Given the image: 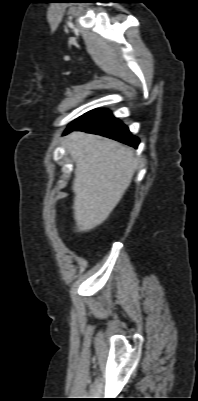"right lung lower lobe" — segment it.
<instances>
[{
  "instance_id": "obj_1",
  "label": "right lung lower lobe",
  "mask_w": 198,
  "mask_h": 401,
  "mask_svg": "<svg viewBox=\"0 0 198 401\" xmlns=\"http://www.w3.org/2000/svg\"><path fill=\"white\" fill-rule=\"evenodd\" d=\"M74 130L103 135L133 147H137L139 143V139L107 110H97L84 122L67 129L65 134Z\"/></svg>"
}]
</instances>
